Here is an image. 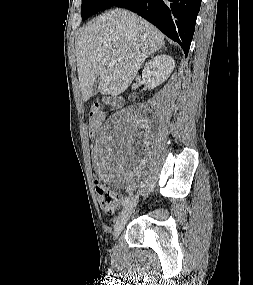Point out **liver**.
I'll return each mask as SVG.
<instances>
[{
	"mask_svg": "<svg viewBox=\"0 0 253 285\" xmlns=\"http://www.w3.org/2000/svg\"><path fill=\"white\" fill-rule=\"evenodd\" d=\"M164 43L161 31L130 11L116 9L97 17L80 32L76 44L83 100L92 96L98 76L101 94L123 93L147 56Z\"/></svg>",
	"mask_w": 253,
	"mask_h": 285,
	"instance_id": "liver-1",
	"label": "liver"
}]
</instances>
